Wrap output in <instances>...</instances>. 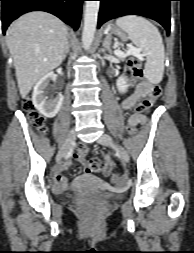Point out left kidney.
Returning <instances> with one entry per match:
<instances>
[{"instance_id":"5707ae66","label":"left kidney","mask_w":194,"mask_h":253,"mask_svg":"<svg viewBox=\"0 0 194 253\" xmlns=\"http://www.w3.org/2000/svg\"><path fill=\"white\" fill-rule=\"evenodd\" d=\"M125 71H126V68H125ZM117 88L120 92H123V93L127 91L128 84H127V78L125 76L120 77L117 80Z\"/></svg>"}]
</instances>
